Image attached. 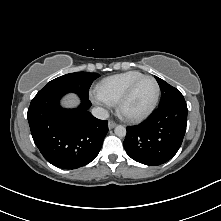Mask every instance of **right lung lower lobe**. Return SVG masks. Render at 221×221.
<instances>
[{"mask_svg": "<svg viewBox=\"0 0 221 221\" xmlns=\"http://www.w3.org/2000/svg\"><path fill=\"white\" fill-rule=\"evenodd\" d=\"M54 95L31 101L27 118L33 140L43 157L62 169L87 165L98 155L108 132L106 120L89 111L88 98L76 109H63Z\"/></svg>", "mask_w": 221, "mask_h": 221, "instance_id": "1", "label": "right lung lower lobe"}]
</instances>
